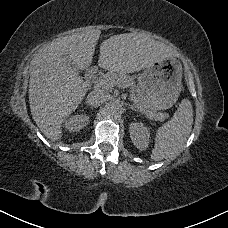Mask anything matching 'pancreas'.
Wrapping results in <instances>:
<instances>
[{"mask_svg":"<svg viewBox=\"0 0 228 228\" xmlns=\"http://www.w3.org/2000/svg\"><path fill=\"white\" fill-rule=\"evenodd\" d=\"M101 78L108 79L109 81L113 82L114 85L120 87V88H129L130 89V97L135 99L141 108H143L144 111L149 112L150 116H154L156 120L164 121L166 118L169 117L167 113H160L156 110H150L148 109L147 104L142 99H139L138 96L135 94L136 92V83L135 78L133 76H129L125 73H116L113 71H109L106 74H104Z\"/></svg>","mask_w":228,"mask_h":228,"instance_id":"1","label":"pancreas"}]
</instances>
